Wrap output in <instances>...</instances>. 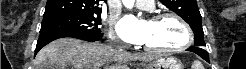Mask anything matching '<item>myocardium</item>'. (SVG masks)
I'll list each match as a JSON object with an SVG mask.
<instances>
[{"label": "myocardium", "mask_w": 246, "mask_h": 69, "mask_svg": "<svg viewBox=\"0 0 246 69\" xmlns=\"http://www.w3.org/2000/svg\"><path fill=\"white\" fill-rule=\"evenodd\" d=\"M163 19H173L177 21L185 32V40L180 45L176 47H172V48L162 49V48L151 47V46L144 44L145 48H147L148 50L160 53V54H170V53L188 49L193 42V34L187 22L175 13H158V14L153 15L150 21H158V20H163Z\"/></svg>", "instance_id": "obj_1"}]
</instances>
